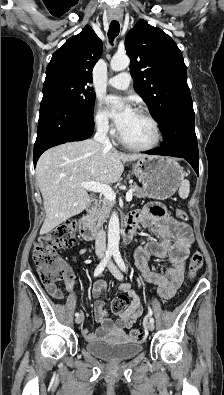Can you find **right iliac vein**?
<instances>
[{
	"label": "right iliac vein",
	"instance_id": "63e3f726",
	"mask_svg": "<svg viewBox=\"0 0 224 395\" xmlns=\"http://www.w3.org/2000/svg\"><path fill=\"white\" fill-rule=\"evenodd\" d=\"M100 258H101V256H100ZM83 320H84V315H83V314H80V315L75 319V322H76L77 324H80L81 322H83Z\"/></svg>",
	"mask_w": 224,
	"mask_h": 395
}]
</instances>
